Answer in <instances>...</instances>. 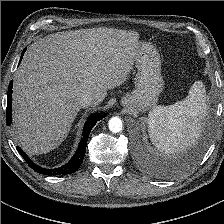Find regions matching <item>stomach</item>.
Here are the masks:
<instances>
[{"instance_id": "obj_1", "label": "stomach", "mask_w": 224, "mask_h": 224, "mask_svg": "<svg viewBox=\"0 0 224 224\" xmlns=\"http://www.w3.org/2000/svg\"><path fill=\"white\" fill-rule=\"evenodd\" d=\"M135 66V89L121 99V104L126 108L146 111L156 105L164 87L160 55L153 45L140 43Z\"/></svg>"}]
</instances>
